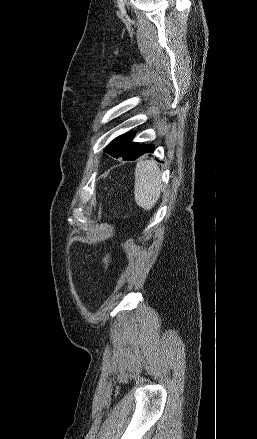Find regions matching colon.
Wrapping results in <instances>:
<instances>
[{"mask_svg": "<svg viewBox=\"0 0 257 439\" xmlns=\"http://www.w3.org/2000/svg\"><path fill=\"white\" fill-rule=\"evenodd\" d=\"M108 260H109V254L104 255V257L102 258V265L104 268L107 265Z\"/></svg>", "mask_w": 257, "mask_h": 439, "instance_id": "obj_1", "label": "colon"}]
</instances>
